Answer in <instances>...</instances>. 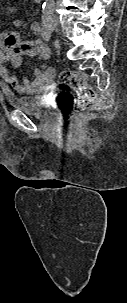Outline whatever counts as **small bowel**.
<instances>
[{"label":"small bowel","mask_w":127,"mask_h":303,"mask_svg":"<svg viewBox=\"0 0 127 303\" xmlns=\"http://www.w3.org/2000/svg\"><path fill=\"white\" fill-rule=\"evenodd\" d=\"M22 24L21 19L13 21L15 27H20ZM30 28L36 36L32 40L22 39L20 34L15 31L0 34V77L19 94L34 93L38 89H49L54 74L52 68H47L44 72L36 71L34 80L24 77L20 81L16 75L9 72L7 64L20 67L24 56L43 60L50 58V50L44 42L43 24L33 22ZM10 38L15 41L9 42Z\"/></svg>","instance_id":"c3829d8e"}]
</instances>
